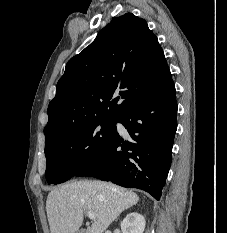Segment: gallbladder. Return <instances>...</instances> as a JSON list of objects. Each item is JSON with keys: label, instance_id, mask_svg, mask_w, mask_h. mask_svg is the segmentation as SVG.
<instances>
[{"label": "gallbladder", "instance_id": "1", "mask_svg": "<svg viewBox=\"0 0 227 233\" xmlns=\"http://www.w3.org/2000/svg\"><path fill=\"white\" fill-rule=\"evenodd\" d=\"M76 233H86V230L85 229H80Z\"/></svg>", "mask_w": 227, "mask_h": 233}]
</instances>
